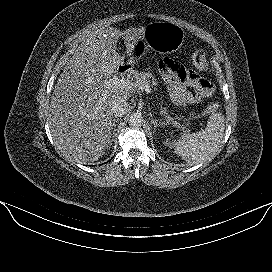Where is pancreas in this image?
<instances>
[{"label":"pancreas","mask_w":272,"mask_h":272,"mask_svg":"<svg viewBox=\"0 0 272 272\" xmlns=\"http://www.w3.org/2000/svg\"><path fill=\"white\" fill-rule=\"evenodd\" d=\"M134 83H136L138 86H144V85H150L152 82V85L157 86L158 82L156 81L155 77L151 73L146 72H140L137 73L134 76ZM152 79V81H150ZM161 114L165 116V120L168 124H172L174 127H177L181 129L182 131H187V128L185 126H182L180 123L176 122L174 118H172L168 113L166 112V108L161 109Z\"/></svg>","instance_id":"obj_1"}]
</instances>
